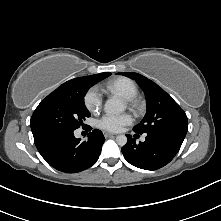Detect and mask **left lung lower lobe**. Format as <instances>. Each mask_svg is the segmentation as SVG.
<instances>
[{
	"label": "left lung lower lobe",
	"mask_w": 221,
	"mask_h": 221,
	"mask_svg": "<svg viewBox=\"0 0 221 221\" xmlns=\"http://www.w3.org/2000/svg\"><path fill=\"white\" fill-rule=\"evenodd\" d=\"M128 142L122 148L124 158L133 166L156 170L168 164L179 151L185 136L176 133L147 134L144 142L136 143L127 135Z\"/></svg>",
	"instance_id": "0a47b994"
}]
</instances>
